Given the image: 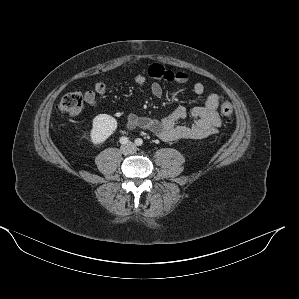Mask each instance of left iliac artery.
Returning a JSON list of instances; mask_svg holds the SVG:
<instances>
[{"label":"left iliac artery","mask_w":299,"mask_h":299,"mask_svg":"<svg viewBox=\"0 0 299 299\" xmlns=\"http://www.w3.org/2000/svg\"><path fill=\"white\" fill-rule=\"evenodd\" d=\"M135 144H136L137 146H141V145L143 144V140L140 139V138H137V139L135 140Z\"/></svg>","instance_id":"obj_1"}]
</instances>
